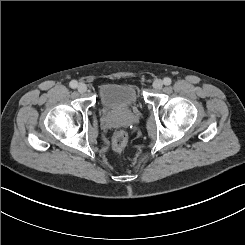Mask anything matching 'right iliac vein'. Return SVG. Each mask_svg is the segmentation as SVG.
Returning a JSON list of instances; mask_svg holds the SVG:
<instances>
[{
  "mask_svg": "<svg viewBox=\"0 0 245 245\" xmlns=\"http://www.w3.org/2000/svg\"><path fill=\"white\" fill-rule=\"evenodd\" d=\"M77 90L79 93H84L87 91V86L86 84L84 83H80L78 86H77Z\"/></svg>",
  "mask_w": 245,
  "mask_h": 245,
  "instance_id": "63e3f726",
  "label": "right iliac vein"
}]
</instances>
